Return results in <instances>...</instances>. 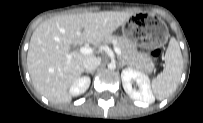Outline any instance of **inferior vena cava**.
Returning <instances> with one entry per match:
<instances>
[{
    "mask_svg": "<svg viewBox=\"0 0 203 123\" xmlns=\"http://www.w3.org/2000/svg\"><path fill=\"white\" fill-rule=\"evenodd\" d=\"M101 63V58L90 57L83 61V68L86 71H94Z\"/></svg>",
    "mask_w": 203,
    "mask_h": 123,
    "instance_id": "602c4592",
    "label": "inferior vena cava"
}]
</instances>
